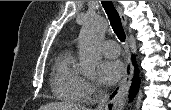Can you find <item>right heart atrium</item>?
<instances>
[{
  "mask_svg": "<svg viewBox=\"0 0 171 110\" xmlns=\"http://www.w3.org/2000/svg\"><path fill=\"white\" fill-rule=\"evenodd\" d=\"M86 91L88 98L98 92L97 87L89 80L86 81Z\"/></svg>",
  "mask_w": 171,
  "mask_h": 110,
  "instance_id": "d8ad5b80",
  "label": "right heart atrium"
}]
</instances>
